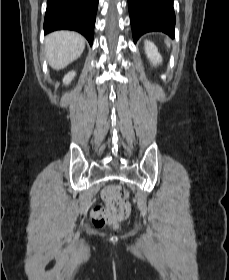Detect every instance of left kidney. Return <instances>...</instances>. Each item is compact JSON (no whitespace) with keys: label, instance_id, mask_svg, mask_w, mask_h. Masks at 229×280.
<instances>
[{"label":"left kidney","instance_id":"left-kidney-1","mask_svg":"<svg viewBox=\"0 0 229 280\" xmlns=\"http://www.w3.org/2000/svg\"><path fill=\"white\" fill-rule=\"evenodd\" d=\"M144 46L147 57L153 65H157L162 62V57L153 42L146 40L144 42Z\"/></svg>","mask_w":229,"mask_h":280}]
</instances>
